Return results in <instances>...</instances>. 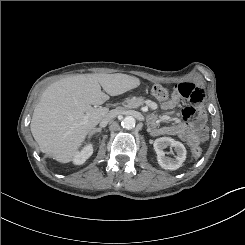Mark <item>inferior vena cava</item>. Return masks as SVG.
I'll use <instances>...</instances> for the list:
<instances>
[{
    "label": "inferior vena cava",
    "instance_id": "obj_1",
    "mask_svg": "<svg viewBox=\"0 0 245 245\" xmlns=\"http://www.w3.org/2000/svg\"><path fill=\"white\" fill-rule=\"evenodd\" d=\"M115 117V114L110 112L108 113L101 121H100V126L104 127L108 124L109 121H111Z\"/></svg>",
    "mask_w": 245,
    "mask_h": 245
}]
</instances>
